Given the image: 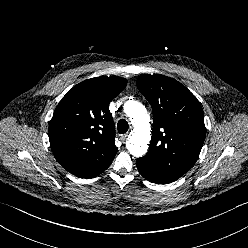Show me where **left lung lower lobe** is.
<instances>
[{
    "label": "left lung lower lobe",
    "instance_id": "0a47b994",
    "mask_svg": "<svg viewBox=\"0 0 248 248\" xmlns=\"http://www.w3.org/2000/svg\"><path fill=\"white\" fill-rule=\"evenodd\" d=\"M136 165L140 174L150 182L166 184L176 180L168 177L166 174L151 169L147 162L141 158L136 160Z\"/></svg>",
    "mask_w": 248,
    "mask_h": 248
}]
</instances>
